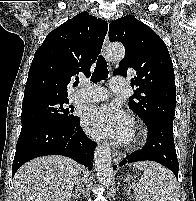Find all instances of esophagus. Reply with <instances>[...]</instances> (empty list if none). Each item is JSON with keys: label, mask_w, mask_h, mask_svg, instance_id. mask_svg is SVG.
<instances>
[{"label": "esophagus", "mask_w": 196, "mask_h": 201, "mask_svg": "<svg viewBox=\"0 0 196 201\" xmlns=\"http://www.w3.org/2000/svg\"><path fill=\"white\" fill-rule=\"evenodd\" d=\"M109 39L108 35H106L101 53L106 58V60L109 62L108 56H107V47H108ZM122 154L120 152H113V158L116 162H119L122 159Z\"/></svg>", "instance_id": "1"}]
</instances>
